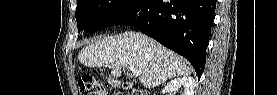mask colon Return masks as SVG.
Masks as SVG:
<instances>
[{
    "mask_svg": "<svg viewBox=\"0 0 277 95\" xmlns=\"http://www.w3.org/2000/svg\"><path fill=\"white\" fill-rule=\"evenodd\" d=\"M79 89L81 94L85 95H105L107 94L108 87L104 83L94 81L91 77L83 76L79 82ZM134 94L142 95L141 92Z\"/></svg>",
    "mask_w": 277,
    "mask_h": 95,
    "instance_id": "1",
    "label": "colon"
}]
</instances>
